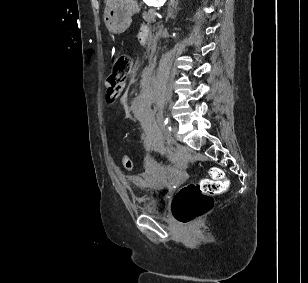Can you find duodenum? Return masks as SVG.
<instances>
[{"mask_svg":"<svg viewBox=\"0 0 308 283\" xmlns=\"http://www.w3.org/2000/svg\"><path fill=\"white\" fill-rule=\"evenodd\" d=\"M146 38H147V33L144 32V33L142 34V40H146Z\"/></svg>","mask_w":308,"mask_h":283,"instance_id":"duodenum-1","label":"duodenum"}]
</instances>
